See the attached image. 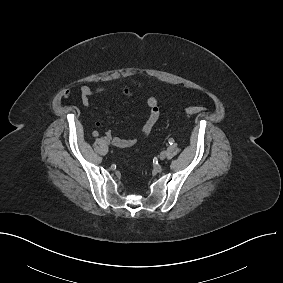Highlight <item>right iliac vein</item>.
<instances>
[{"instance_id": "right-iliac-vein-1", "label": "right iliac vein", "mask_w": 283, "mask_h": 283, "mask_svg": "<svg viewBox=\"0 0 283 283\" xmlns=\"http://www.w3.org/2000/svg\"><path fill=\"white\" fill-rule=\"evenodd\" d=\"M104 139L107 144H110V139L108 137H105Z\"/></svg>"}]
</instances>
